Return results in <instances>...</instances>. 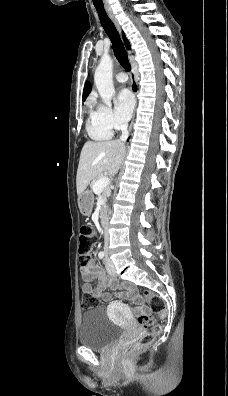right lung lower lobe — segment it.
I'll use <instances>...</instances> for the list:
<instances>
[{
    "label": "right lung lower lobe",
    "mask_w": 228,
    "mask_h": 396,
    "mask_svg": "<svg viewBox=\"0 0 228 396\" xmlns=\"http://www.w3.org/2000/svg\"><path fill=\"white\" fill-rule=\"evenodd\" d=\"M133 90H134V91L137 90V87H136L135 83L133 84Z\"/></svg>",
    "instance_id": "1"
}]
</instances>
